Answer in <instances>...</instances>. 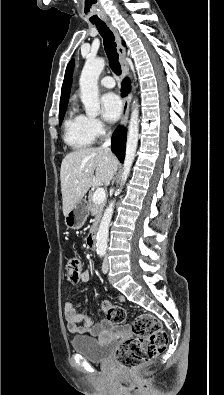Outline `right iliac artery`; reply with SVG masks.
Returning a JSON list of instances; mask_svg holds the SVG:
<instances>
[{
	"label": "right iliac artery",
	"instance_id": "right-iliac-artery-1",
	"mask_svg": "<svg viewBox=\"0 0 224 395\" xmlns=\"http://www.w3.org/2000/svg\"><path fill=\"white\" fill-rule=\"evenodd\" d=\"M98 254H99L100 257H103L105 255V252L101 251V252H98Z\"/></svg>",
	"mask_w": 224,
	"mask_h": 395
}]
</instances>
